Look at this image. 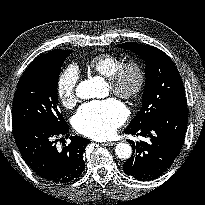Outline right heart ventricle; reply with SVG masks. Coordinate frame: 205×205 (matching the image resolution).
<instances>
[{
  "instance_id": "right-heart-ventricle-1",
  "label": "right heart ventricle",
  "mask_w": 205,
  "mask_h": 205,
  "mask_svg": "<svg viewBox=\"0 0 205 205\" xmlns=\"http://www.w3.org/2000/svg\"><path fill=\"white\" fill-rule=\"evenodd\" d=\"M123 62L124 60L116 55L98 54L88 61L87 67L89 70L109 78Z\"/></svg>"
}]
</instances>
